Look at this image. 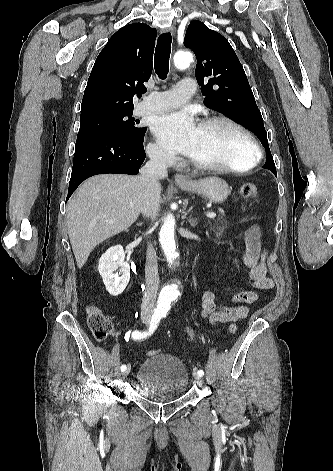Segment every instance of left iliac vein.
Here are the masks:
<instances>
[{"mask_svg": "<svg viewBox=\"0 0 333 471\" xmlns=\"http://www.w3.org/2000/svg\"><path fill=\"white\" fill-rule=\"evenodd\" d=\"M193 376L197 382L201 380V376H199L196 372L193 373Z\"/></svg>", "mask_w": 333, "mask_h": 471, "instance_id": "1", "label": "left iliac vein"}]
</instances>
